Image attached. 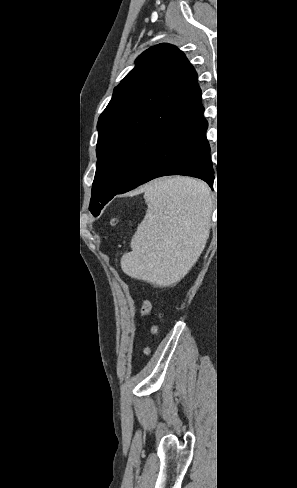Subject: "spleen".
Listing matches in <instances>:
<instances>
[{
  "mask_svg": "<svg viewBox=\"0 0 297 488\" xmlns=\"http://www.w3.org/2000/svg\"><path fill=\"white\" fill-rule=\"evenodd\" d=\"M144 198L146 215L121 266L133 278L165 285L185 275L201 252L212 196L202 181L173 177L147 186Z\"/></svg>",
  "mask_w": 297,
  "mask_h": 488,
  "instance_id": "3e777b00",
  "label": "spleen"
}]
</instances>
